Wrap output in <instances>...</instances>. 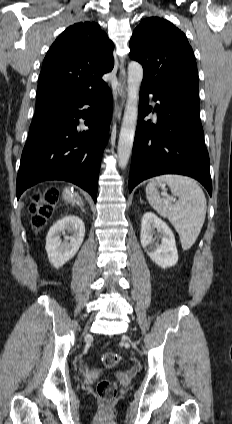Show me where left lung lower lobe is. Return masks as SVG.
<instances>
[{
    "instance_id": "left-lung-lower-lobe-1",
    "label": "left lung lower lobe",
    "mask_w": 232,
    "mask_h": 424,
    "mask_svg": "<svg viewBox=\"0 0 232 424\" xmlns=\"http://www.w3.org/2000/svg\"><path fill=\"white\" fill-rule=\"evenodd\" d=\"M156 104L157 124L143 121ZM129 191L141 181L161 174H182L201 182L212 195L209 156L200 122L199 96L194 92H158L141 86Z\"/></svg>"
}]
</instances>
